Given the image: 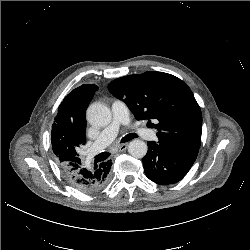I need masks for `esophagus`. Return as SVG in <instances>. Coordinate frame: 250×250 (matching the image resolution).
Instances as JSON below:
<instances>
[{"mask_svg": "<svg viewBox=\"0 0 250 250\" xmlns=\"http://www.w3.org/2000/svg\"><path fill=\"white\" fill-rule=\"evenodd\" d=\"M127 147H128V144H127V143L120 144V145H118V147H117V151H118V152H124V151L127 149Z\"/></svg>", "mask_w": 250, "mask_h": 250, "instance_id": "1", "label": "esophagus"}]
</instances>
